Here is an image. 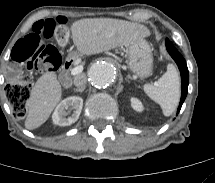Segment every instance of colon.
I'll use <instances>...</instances> for the list:
<instances>
[{"label": "colon", "mask_w": 215, "mask_h": 183, "mask_svg": "<svg viewBox=\"0 0 215 183\" xmlns=\"http://www.w3.org/2000/svg\"><path fill=\"white\" fill-rule=\"evenodd\" d=\"M67 28L68 21L63 16L40 20L11 50L6 96L16 116L25 115L31 94V81L26 76V68L39 72L58 69L62 59L53 43L66 39Z\"/></svg>", "instance_id": "obj_1"}]
</instances>
